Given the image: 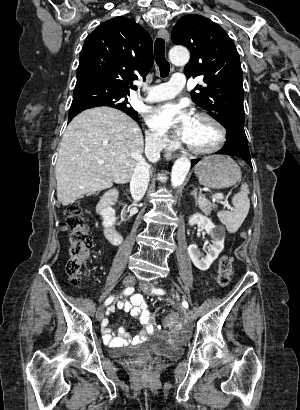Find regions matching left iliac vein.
I'll use <instances>...</instances> for the list:
<instances>
[{
  "label": "left iliac vein",
  "instance_id": "obj_1",
  "mask_svg": "<svg viewBox=\"0 0 300 410\" xmlns=\"http://www.w3.org/2000/svg\"><path fill=\"white\" fill-rule=\"evenodd\" d=\"M140 288L146 293V294H151V289L154 287V285L150 282H146V281H141L139 283ZM186 317L189 320L193 319V312L188 310L185 312Z\"/></svg>",
  "mask_w": 300,
  "mask_h": 410
}]
</instances>
